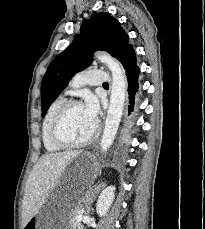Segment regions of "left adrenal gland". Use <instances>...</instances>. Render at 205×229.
<instances>
[{
  "label": "left adrenal gland",
  "mask_w": 205,
  "mask_h": 229,
  "mask_svg": "<svg viewBox=\"0 0 205 229\" xmlns=\"http://www.w3.org/2000/svg\"><path fill=\"white\" fill-rule=\"evenodd\" d=\"M105 183H100L97 187H95V189H93L91 191V193H89L88 195H86V201H84L85 204V208H86V213L88 214L91 211V203L93 202V200L96 197V194L99 193V191L101 190V188L105 187Z\"/></svg>",
  "instance_id": "a2214340"
}]
</instances>
